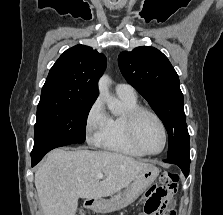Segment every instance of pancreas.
<instances>
[{
	"label": "pancreas",
	"instance_id": "1",
	"mask_svg": "<svg viewBox=\"0 0 223 215\" xmlns=\"http://www.w3.org/2000/svg\"><path fill=\"white\" fill-rule=\"evenodd\" d=\"M118 192H119V191H118ZM116 195H118V194L116 193ZM116 195H111L110 198H112V199H119V198H116Z\"/></svg>",
	"mask_w": 223,
	"mask_h": 215
}]
</instances>
